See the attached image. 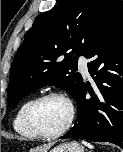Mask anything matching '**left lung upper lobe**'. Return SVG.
Here are the masks:
<instances>
[{"label":"left lung upper lobe","instance_id":"1","mask_svg":"<svg viewBox=\"0 0 123 152\" xmlns=\"http://www.w3.org/2000/svg\"><path fill=\"white\" fill-rule=\"evenodd\" d=\"M121 0H61L38 16L12 63L8 103L15 108L31 92L54 85L75 99L83 80L79 56L87 58ZM64 56V59L62 58Z\"/></svg>","mask_w":123,"mask_h":152}]
</instances>
